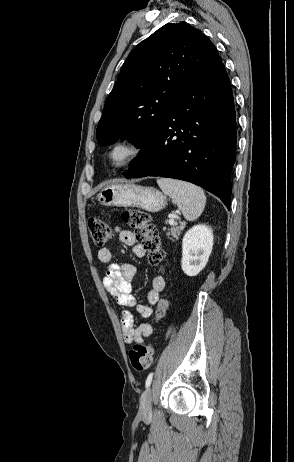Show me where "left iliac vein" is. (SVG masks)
<instances>
[{"label": "left iliac vein", "mask_w": 294, "mask_h": 462, "mask_svg": "<svg viewBox=\"0 0 294 462\" xmlns=\"http://www.w3.org/2000/svg\"><path fill=\"white\" fill-rule=\"evenodd\" d=\"M152 411V391L148 388L140 398V414L148 415Z\"/></svg>", "instance_id": "4c4485c4"}]
</instances>
